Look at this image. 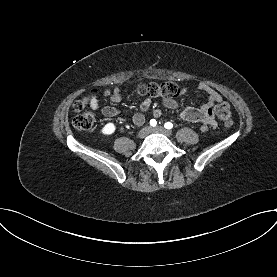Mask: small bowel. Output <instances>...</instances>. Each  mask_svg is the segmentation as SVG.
Masks as SVG:
<instances>
[{
  "label": "small bowel",
  "instance_id": "small-bowel-1",
  "mask_svg": "<svg viewBox=\"0 0 277 277\" xmlns=\"http://www.w3.org/2000/svg\"><path fill=\"white\" fill-rule=\"evenodd\" d=\"M198 89L204 91L208 95L206 103L200 107L181 108L179 102L172 98L163 99L162 103L168 109L179 111L181 119L189 122L200 123L201 130L205 131L208 129V127L215 125L214 105L222 101V96L218 91L205 82H200L198 84ZM186 91L187 88L183 87L179 95L185 94ZM103 96L109 98L113 103H119L122 100L121 90L119 87H115L114 89H105L103 91ZM150 105V98L144 99L140 104V111L132 114L129 117L130 121L136 126L142 125L145 122L144 112L148 110ZM90 107L95 111L99 109V102L96 94H93L90 98ZM101 113L105 117L113 118L120 115L121 111L114 106H103L101 108ZM160 116L161 110L155 109L153 111V117L159 118Z\"/></svg>",
  "mask_w": 277,
  "mask_h": 277
}]
</instances>
